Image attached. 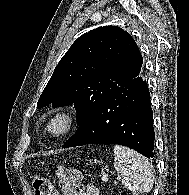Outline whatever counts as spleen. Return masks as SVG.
<instances>
[{"instance_id": "obj_1", "label": "spleen", "mask_w": 189, "mask_h": 195, "mask_svg": "<svg viewBox=\"0 0 189 195\" xmlns=\"http://www.w3.org/2000/svg\"><path fill=\"white\" fill-rule=\"evenodd\" d=\"M114 168L122 177V184L133 194L149 193L153 188V168L147 158L141 154L115 145Z\"/></svg>"}]
</instances>
